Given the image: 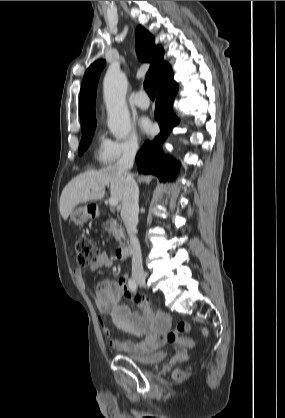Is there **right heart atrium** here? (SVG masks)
Wrapping results in <instances>:
<instances>
[{
  "label": "right heart atrium",
  "mask_w": 285,
  "mask_h": 418,
  "mask_svg": "<svg viewBox=\"0 0 285 418\" xmlns=\"http://www.w3.org/2000/svg\"><path fill=\"white\" fill-rule=\"evenodd\" d=\"M140 149V138L135 131L123 139L108 140L103 150L102 162L106 165H116L119 162L133 158Z\"/></svg>",
  "instance_id": "d8ad5b80"
}]
</instances>
